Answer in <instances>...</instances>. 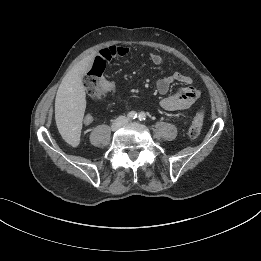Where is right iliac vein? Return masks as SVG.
<instances>
[{
    "label": "right iliac vein",
    "mask_w": 261,
    "mask_h": 261,
    "mask_svg": "<svg viewBox=\"0 0 261 261\" xmlns=\"http://www.w3.org/2000/svg\"><path fill=\"white\" fill-rule=\"evenodd\" d=\"M123 124H124V119H118V120H116V121L112 124L111 128H112V130H116V129H118L120 126H122Z\"/></svg>",
    "instance_id": "obj_1"
}]
</instances>
